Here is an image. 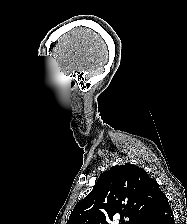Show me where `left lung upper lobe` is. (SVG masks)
<instances>
[{
	"instance_id": "obj_1",
	"label": "left lung upper lobe",
	"mask_w": 187,
	"mask_h": 224,
	"mask_svg": "<svg viewBox=\"0 0 187 224\" xmlns=\"http://www.w3.org/2000/svg\"><path fill=\"white\" fill-rule=\"evenodd\" d=\"M162 193L144 169L130 163L116 165L101 173L67 224H110L116 214L121 216L120 224H146Z\"/></svg>"
}]
</instances>
